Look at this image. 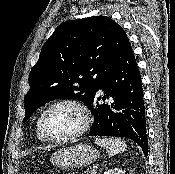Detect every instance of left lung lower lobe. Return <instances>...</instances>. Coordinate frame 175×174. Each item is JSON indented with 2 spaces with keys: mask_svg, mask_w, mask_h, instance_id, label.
<instances>
[{
  "mask_svg": "<svg viewBox=\"0 0 175 174\" xmlns=\"http://www.w3.org/2000/svg\"><path fill=\"white\" fill-rule=\"evenodd\" d=\"M100 89L105 94L102 98L98 97ZM109 97L110 101L99 104V100ZM88 107L94 115L88 136L129 138L148 155L141 75L130 44L98 83Z\"/></svg>",
  "mask_w": 175,
  "mask_h": 174,
  "instance_id": "left-lung-lower-lobe-1",
  "label": "left lung lower lobe"
}]
</instances>
